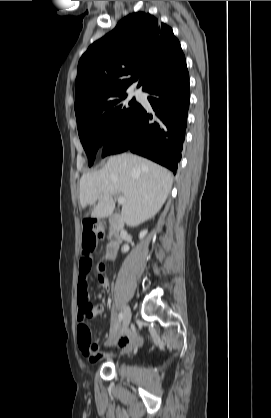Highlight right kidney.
<instances>
[{
	"label": "right kidney",
	"instance_id": "ca27d5eb",
	"mask_svg": "<svg viewBox=\"0 0 271 418\" xmlns=\"http://www.w3.org/2000/svg\"><path fill=\"white\" fill-rule=\"evenodd\" d=\"M147 234V230H143L139 234V238L142 239Z\"/></svg>",
	"mask_w": 271,
	"mask_h": 418
}]
</instances>
